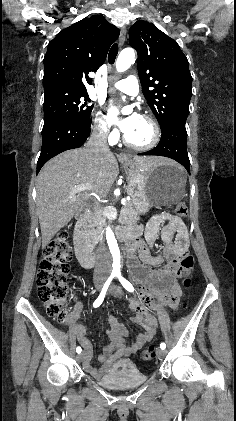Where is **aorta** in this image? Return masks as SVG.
Returning <instances> with one entry per match:
<instances>
[{
  "label": "aorta",
  "instance_id": "1",
  "mask_svg": "<svg viewBox=\"0 0 236 421\" xmlns=\"http://www.w3.org/2000/svg\"><path fill=\"white\" fill-rule=\"evenodd\" d=\"M134 60H135L134 48H123V50H121L116 60V68L118 72H124V70H127V68H130ZM106 239H107L108 247L110 249V253L113 257L112 273H120V267H121L120 251L118 249V245L114 237V233L113 231H111L110 227H107L106 229Z\"/></svg>",
  "mask_w": 236,
  "mask_h": 421
}]
</instances>
